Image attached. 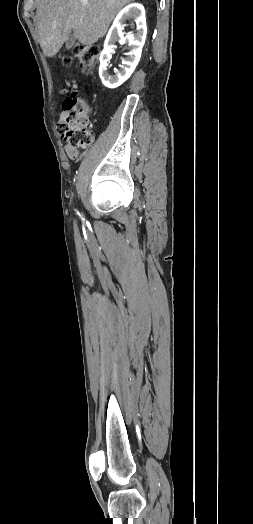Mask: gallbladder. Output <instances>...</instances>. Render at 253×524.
Listing matches in <instances>:
<instances>
[{"instance_id": "bac80fb5", "label": "gallbladder", "mask_w": 253, "mask_h": 524, "mask_svg": "<svg viewBox=\"0 0 253 524\" xmlns=\"http://www.w3.org/2000/svg\"><path fill=\"white\" fill-rule=\"evenodd\" d=\"M75 40H76V39H75L74 35H73V34H70V35L68 36L67 40H66V47H67L68 49L72 48V46H73L74 43H75Z\"/></svg>"}]
</instances>
